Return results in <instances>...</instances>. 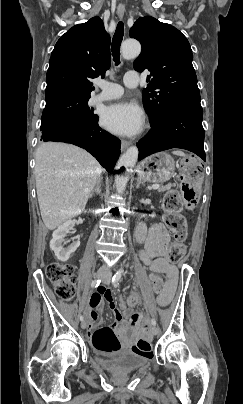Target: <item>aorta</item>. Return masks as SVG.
<instances>
[{"label": "aorta", "mask_w": 243, "mask_h": 404, "mask_svg": "<svg viewBox=\"0 0 243 404\" xmlns=\"http://www.w3.org/2000/svg\"><path fill=\"white\" fill-rule=\"evenodd\" d=\"M140 52L141 46L137 40H125V42L121 44V54L124 60L137 58ZM137 160L138 148H136V146H131V148H128L127 152H125L117 162L115 184L118 194H123V192H125L126 184L130 179L129 171L134 168Z\"/></svg>", "instance_id": "1"}]
</instances>
